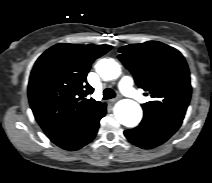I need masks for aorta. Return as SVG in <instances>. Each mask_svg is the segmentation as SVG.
Returning <instances> with one entry per match:
<instances>
[{
  "label": "aorta",
  "instance_id": "762f6f07",
  "mask_svg": "<svg viewBox=\"0 0 212 183\" xmlns=\"http://www.w3.org/2000/svg\"><path fill=\"white\" fill-rule=\"evenodd\" d=\"M120 71V65L112 59H103L97 65V72L104 80L118 78ZM114 114L120 124L131 128L139 124L142 118V109L135 101L124 99L116 104Z\"/></svg>",
  "mask_w": 212,
  "mask_h": 183
}]
</instances>
